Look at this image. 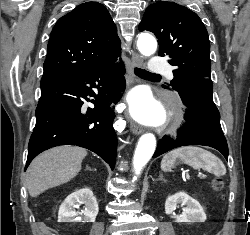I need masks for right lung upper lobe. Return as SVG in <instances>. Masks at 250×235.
<instances>
[{
  "mask_svg": "<svg viewBox=\"0 0 250 235\" xmlns=\"http://www.w3.org/2000/svg\"><path fill=\"white\" fill-rule=\"evenodd\" d=\"M121 41L107 9L86 2L61 17L52 29L41 83L83 73L120 55Z\"/></svg>",
  "mask_w": 250,
  "mask_h": 235,
  "instance_id": "1",
  "label": "right lung upper lobe"
}]
</instances>
